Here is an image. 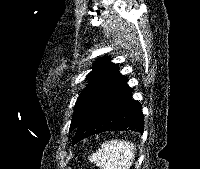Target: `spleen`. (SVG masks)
I'll use <instances>...</instances> for the list:
<instances>
[{"label":"spleen","mask_w":200,"mask_h":169,"mask_svg":"<svg viewBox=\"0 0 200 169\" xmlns=\"http://www.w3.org/2000/svg\"><path fill=\"white\" fill-rule=\"evenodd\" d=\"M135 153L136 147L133 143L111 140L102 144L89 160L101 169H130Z\"/></svg>","instance_id":"spleen-1"}]
</instances>
